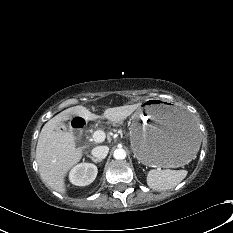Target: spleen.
<instances>
[{
	"label": "spleen",
	"instance_id": "spleen-1",
	"mask_svg": "<svg viewBox=\"0 0 233 233\" xmlns=\"http://www.w3.org/2000/svg\"><path fill=\"white\" fill-rule=\"evenodd\" d=\"M186 175V170L152 169L148 172L147 184L158 191L168 190L178 185Z\"/></svg>",
	"mask_w": 233,
	"mask_h": 233
}]
</instances>
